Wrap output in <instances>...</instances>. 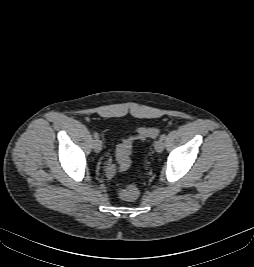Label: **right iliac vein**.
Returning a JSON list of instances; mask_svg holds the SVG:
<instances>
[{"label": "right iliac vein", "instance_id": "right-iliac-vein-1", "mask_svg": "<svg viewBox=\"0 0 254 267\" xmlns=\"http://www.w3.org/2000/svg\"><path fill=\"white\" fill-rule=\"evenodd\" d=\"M93 148L95 152H100L102 150V142L100 139H96L93 143Z\"/></svg>", "mask_w": 254, "mask_h": 267}]
</instances>
